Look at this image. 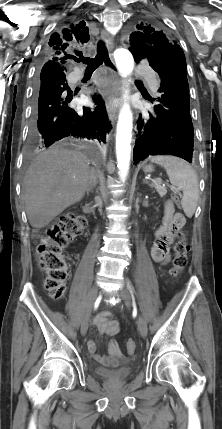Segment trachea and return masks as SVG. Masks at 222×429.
Returning a JSON list of instances; mask_svg holds the SVG:
<instances>
[{
	"instance_id": "3493384b",
	"label": "trachea",
	"mask_w": 222,
	"mask_h": 429,
	"mask_svg": "<svg viewBox=\"0 0 222 429\" xmlns=\"http://www.w3.org/2000/svg\"><path fill=\"white\" fill-rule=\"evenodd\" d=\"M76 62H82L87 65L86 72L92 73L95 71V69L101 65L103 62L110 66L111 68H114L113 64L110 61V58L108 56V51L105 47V44L103 41H99L97 45V55L95 58H89V57H83L80 56L79 58H75Z\"/></svg>"
}]
</instances>
